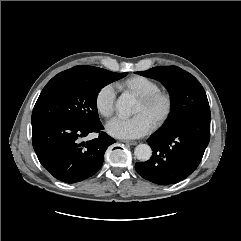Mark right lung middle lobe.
Segmentation results:
<instances>
[{
	"label": "right lung middle lobe",
	"mask_w": 241,
	"mask_h": 241,
	"mask_svg": "<svg viewBox=\"0 0 241 241\" xmlns=\"http://www.w3.org/2000/svg\"><path fill=\"white\" fill-rule=\"evenodd\" d=\"M126 73H114L93 67L88 73L63 71L42 90L32 113V124L65 121L86 127L99 125L97 96L107 84Z\"/></svg>",
	"instance_id": "obj_1"
}]
</instances>
